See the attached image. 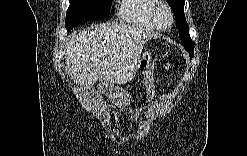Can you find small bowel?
<instances>
[{"label": "small bowel", "instance_id": "small-bowel-1", "mask_svg": "<svg viewBox=\"0 0 247 156\" xmlns=\"http://www.w3.org/2000/svg\"><path fill=\"white\" fill-rule=\"evenodd\" d=\"M145 84L148 90V93L153 96L154 94V66L153 63L150 61H147L142 68Z\"/></svg>", "mask_w": 247, "mask_h": 156}]
</instances>
